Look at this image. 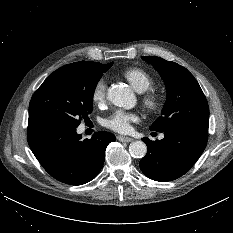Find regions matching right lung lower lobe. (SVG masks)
Wrapping results in <instances>:
<instances>
[{"label":"right lung lower lobe","mask_w":233,"mask_h":233,"mask_svg":"<svg viewBox=\"0 0 233 233\" xmlns=\"http://www.w3.org/2000/svg\"><path fill=\"white\" fill-rule=\"evenodd\" d=\"M76 128L57 122H28L29 146L44 169L55 179L70 185H82L97 176L105 150L116 140L108 132H97L82 140Z\"/></svg>","instance_id":"obj_1"}]
</instances>
